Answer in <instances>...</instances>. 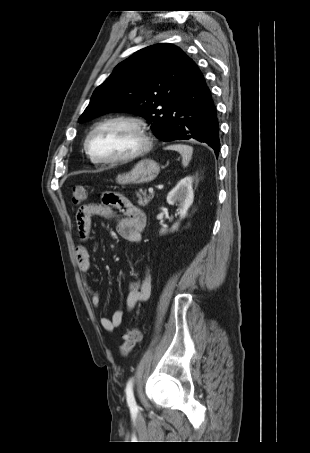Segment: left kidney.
<instances>
[{
	"label": "left kidney",
	"instance_id": "1",
	"mask_svg": "<svg viewBox=\"0 0 310 453\" xmlns=\"http://www.w3.org/2000/svg\"><path fill=\"white\" fill-rule=\"evenodd\" d=\"M193 178L187 176L180 180L178 184L168 193L167 202L170 205L178 204V211L180 214V220L185 218L187 215L188 209L193 203L194 200V191H193ZM179 221L176 222L171 231L178 229ZM167 228H162L160 233H166Z\"/></svg>",
	"mask_w": 310,
	"mask_h": 453
}]
</instances>
